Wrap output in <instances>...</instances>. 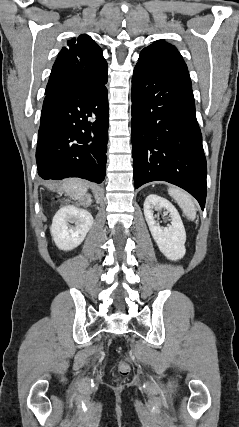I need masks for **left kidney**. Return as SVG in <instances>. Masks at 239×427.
<instances>
[{"label":"left kidney","mask_w":239,"mask_h":427,"mask_svg":"<svg viewBox=\"0 0 239 427\" xmlns=\"http://www.w3.org/2000/svg\"><path fill=\"white\" fill-rule=\"evenodd\" d=\"M166 209L171 224L161 227L155 220L154 210ZM144 215L150 232L159 250L172 261H177L186 253V232L176 208L166 199L151 194L144 202Z\"/></svg>","instance_id":"left-kidney-1"}]
</instances>
